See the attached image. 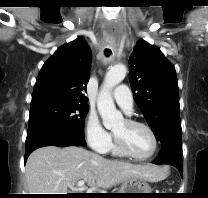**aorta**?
Masks as SVG:
<instances>
[{
  "label": "aorta",
  "instance_id": "762f6f07",
  "mask_svg": "<svg viewBox=\"0 0 208 198\" xmlns=\"http://www.w3.org/2000/svg\"><path fill=\"white\" fill-rule=\"evenodd\" d=\"M126 72V67L119 64L111 67L105 75L97 101V108L103 120V125L107 129L114 127L123 120L121 112L115 107L111 90L125 78Z\"/></svg>",
  "mask_w": 208,
  "mask_h": 198
}]
</instances>
